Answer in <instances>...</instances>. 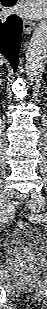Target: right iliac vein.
Returning a JSON list of instances; mask_svg holds the SVG:
<instances>
[{
	"instance_id": "right-iliac-vein-1",
	"label": "right iliac vein",
	"mask_w": 47,
	"mask_h": 309,
	"mask_svg": "<svg viewBox=\"0 0 47 309\" xmlns=\"http://www.w3.org/2000/svg\"><path fill=\"white\" fill-rule=\"evenodd\" d=\"M13 190L12 189H4L0 196V220L3 223L8 222V216H9V210H8V204L10 202V199L13 196Z\"/></svg>"
}]
</instances>
